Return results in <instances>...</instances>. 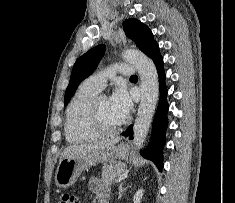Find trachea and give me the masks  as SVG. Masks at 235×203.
Instances as JSON below:
<instances>
[{"instance_id": "trachea-1", "label": "trachea", "mask_w": 235, "mask_h": 203, "mask_svg": "<svg viewBox=\"0 0 235 203\" xmlns=\"http://www.w3.org/2000/svg\"><path fill=\"white\" fill-rule=\"evenodd\" d=\"M131 77L133 78V77H137V76L136 75H132Z\"/></svg>"}]
</instances>
